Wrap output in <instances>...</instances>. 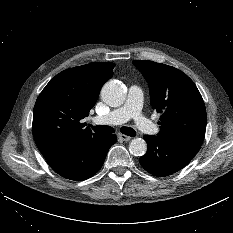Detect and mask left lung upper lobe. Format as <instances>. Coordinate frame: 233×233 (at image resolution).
Returning a JSON list of instances; mask_svg holds the SVG:
<instances>
[{"label": "left lung upper lobe", "instance_id": "1", "mask_svg": "<svg viewBox=\"0 0 233 233\" xmlns=\"http://www.w3.org/2000/svg\"><path fill=\"white\" fill-rule=\"evenodd\" d=\"M150 88L151 105L162 116L158 136L201 145L206 109L194 82L182 71L153 61H133Z\"/></svg>", "mask_w": 233, "mask_h": 233}]
</instances>
